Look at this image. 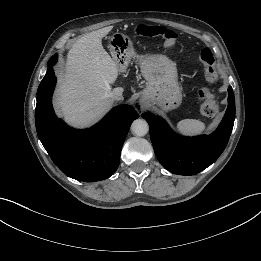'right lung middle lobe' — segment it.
I'll return each instance as SVG.
<instances>
[{"label":"right lung middle lobe","instance_id":"obj_1","mask_svg":"<svg viewBox=\"0 0 261 261\" xmlns=\"http://www.w3.org/2000/svg\"><path fill=\"white\" fill-rule=\"evenodd\" d=\"M56 60H57V55L52 56V57L50 58L49 62H48V68H49V67H52L53 64L56 62ZM42 81H43V80H42ZM41 83H42V82H41Z\"/></svg>","mask_w":261,"mask_h":261}]
</instances>
